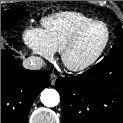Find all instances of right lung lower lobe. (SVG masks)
Segmentation results:
<instances>
[{"mask_svg":"<svg viewBox=\"0 0 123 123\" xmlns=\"http://www.w3.org/2000/svg\"><path fill=\"white\" fill-rule=\"evenodd\" d=\"M49 85V72L21 69L8 50H1V123H27L34 100Z\"/></svg>","mask_w":123,"mask_h":123,"instance_id":"obj_1","label":"right lung lower lobe"}]
</instances>
